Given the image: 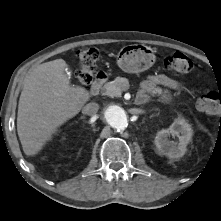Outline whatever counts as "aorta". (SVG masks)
I'll use <instances>...</instances> for the list:
<instances>
[{
	"label": "aorta",
	"mask_w": 221,
	"mask_h": 221,
	"mask_svg": "<svg viewBox=\"0 0 221 221\" xmlns=\"http://www.w3.org/2000/svg\"><path fill=\"white\" fill-rule=\"evenodd\" d=\"M104 118L114 129L125 130L128 126L127 113L118 105L109 106L104 112Z\"/></svg>",
	"instance_id": "obj_1"
}]
</instances>
